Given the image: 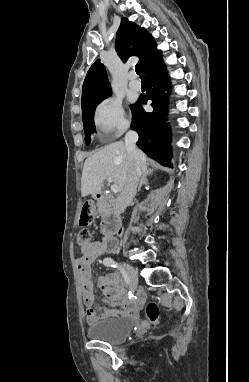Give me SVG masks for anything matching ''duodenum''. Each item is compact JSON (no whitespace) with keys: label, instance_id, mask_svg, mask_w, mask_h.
<instances>
[{"label":"duodenum","instance_id":"410a0bca","mask_svg":"<svg viewBox=\"0 0 249 382\" xmlns=\"http://www.w3.org/2000/svg\"><path fill=\"white\" fill-rule=\"evenodd\" d=\"M94 198L102 203L104 210L107 212V217L103 225V232L107 236H113L119 233L121 217L118 213H113L115 208L114 198L106 195L103 191H96L94 193Z\"/></svg>","mask_w":249,"mask_h":382}]
</instances>
